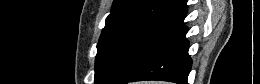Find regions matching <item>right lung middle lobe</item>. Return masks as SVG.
<instances>
[{"label": "right lung middle lobe", "mask_w": 260, "mask_h": 84, "mask_svg": "<svg viewBox=\"0 0 260 84\" xmlns=\"http://www.w3.org/2000/svg\"><path fill=\"white\" fill-rule=\"evenodd\" d=\"M178 28L134 25L101 38L96 84H125L174 36Z\"/></svg>", "instance_id": "1"}]
</instances>
